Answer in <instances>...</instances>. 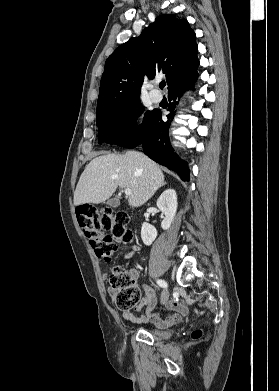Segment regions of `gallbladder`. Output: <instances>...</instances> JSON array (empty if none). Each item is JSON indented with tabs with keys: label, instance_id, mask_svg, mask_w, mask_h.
Here are the masks:
<instances>
[{
	"label": "gallbladder",
	"instance_id": "bac80fb5",
	"mask_svg": "<svg viewBox=\"0 0 279 391\" xmlns=\"http://www.w3.org/2000/svg\"><path fill=\"white\" fill-rule=\"evenodd\" d=\"M107 204H109L112 207H117L120 204V201L118 198H111L107 201Z\"/></svg>",
	"mask_w": 279,
	"mask_h": 391
}]
</instances>
